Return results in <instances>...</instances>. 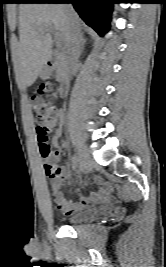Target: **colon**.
I'll list each match as a JSON object with an SVG mask.
<instances>
[{
    "label": "colon",
    "instance_id": "1",
    "mask_svg": "<svg viewBox=\"0 0 166 267\" xmlns=\"http://www.w3.org/2000/svg\"><path fill=\"white\" fill-rule=\"evenodd\" d=\"M43 94H51L53 98H56V94L53 92L52 86L46 84L38 90L37 94L32 96L31 106L37 124L36 134L40 154L47 160L44 164V169L46 175L50 179H54L58 176V170L55 165L49 161L53 152L47 142L49 132L48 123L58 117L59 109L53 101L44 99L42 97Z\"/></svg>",
    "mask_w": 166,
    "mask_h": 267
}]
</instances>
